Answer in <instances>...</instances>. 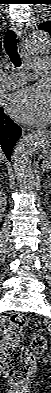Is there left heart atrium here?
I'll return each instance as SVG.
<instances>
[{"instance_id": "left-heart-atrium-1", "label": "left heart atrium", "mask_w": 51, "mask_h": 393, "mask_svg": "<svg viewBox=\"0 0 51 393\" xmlns=\"http://www.w3.org/2000/svg\"><path fill=\"white\" fill-rule=\"evenodd\" d=\"M8 112L16 119L34 125L47 123L51 116L49 97L34 87H26L11 94Z\"/></svg>"}]
</instances>
